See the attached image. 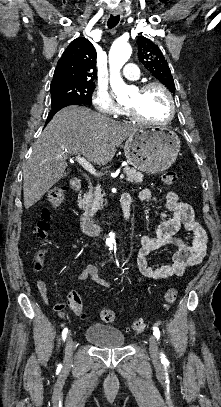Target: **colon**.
Masks as SVG:
<instances>
[{
	"mask_svg": "<svg viewBox=\"0 0 221 407\" xmlns=\"http://www.w3.org/2000/svg\"><path fill=\"white\" fill-rule=\"evenodd\" d=\"M178 180V174L175 170H167L163 172L161 176V181L165 185H172L175 184ZM66 188L65 187H57V188H51L47 192V199L50 203V205L54 208L58 207L60 203L64 199V194H65ZM47 214L44 216V218H47ZM49 229V224L47 223L46 220L40 221L36 228H35V234L38 237H45L47 234V231ZM36 267H41L42 265V254H39L37 257V260L35 262ZM177 297V290L173 287H170L166 290L165 292V308L169 309V307L174 303ZM68 305L70 309L78 316L84 318L85 313L83 310V305L81 300L78 297H74L70 302H68ZM101 319L106 322V323H113L117 319V314L114 310L111 309H103L101 311ZM130 330L137 334H141L146 330V323L143 320H137L134 321L131 326Z\"/></svg>",
	"mask_w": 221,
	"mask_h": 407,
	"instance_id": "colon-1",
	"label": "colon"
}]
</instances>
